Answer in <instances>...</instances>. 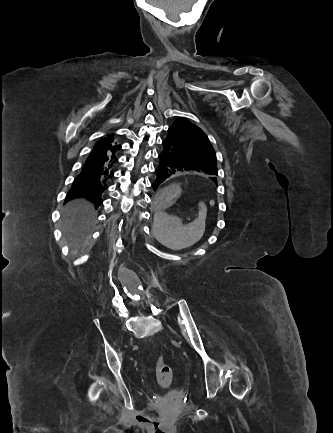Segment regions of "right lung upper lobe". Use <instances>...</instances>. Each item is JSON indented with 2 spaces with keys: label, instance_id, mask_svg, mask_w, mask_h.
I'll list each match as a JSON object with an SVG mask.
<instances>
[{
  "label": "right lung upper lobe",
  "instance_id": "obj_1",
  "mask_svg": "<svg viewBox=\"0 0 333 433\" xmlns=\"http://www.w3.org/2000/svg\"><path fill=\"white\" fill-rule=\"evenodd\" d=\"M102 143H104L105 145H114L117 142L114 141V137L112 135H107V137L103 138L100 140Z\"/></svg>",
  "mask_w": 333,
  "mask_h": 433
}]
</instances>
